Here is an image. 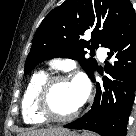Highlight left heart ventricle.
Returning <instances> with one entry per match:
<instances>
[{
  "label": "left heart ventricle",
  "mask_w": 136,
  "mask_h": 136,
  "mask_svg": "<svg viewBox=\"0 0 136 136\" xmlns=\"http://www.w3.org/2000/svg\"><path fill=\"white\" fill-rule=\"evenodd\" d=\"M49 105L52 112L58 116L69 115L80 106L71 81L58 82L52 87Z\"/></svg>",
  "instance_id": "left-heart-ventricle-1"
}]
</instances>
